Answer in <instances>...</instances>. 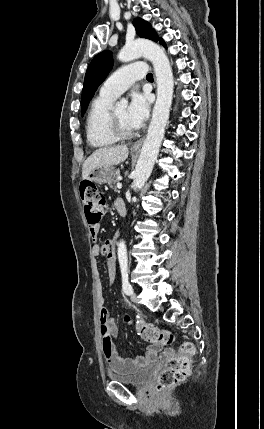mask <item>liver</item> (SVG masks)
Instances as JSON below:
<instances>
[{
	"mask_svg": "<svg viewBox=\"0 0 264 429\" xmlns=\"http://www.w3.org/2000/svg\"><path fill=\"white\" fill-rule=\"evenodd\" d=\"M129 150L126 145L99 148L93 152L84 162L82 167V178L86 179L89 174L100 166L118 165L128 157Z\"/></svg>",
	"mask_w": 264,
	"mask_h": 429,
	"instance_id": "1",
	"label": "liver"
}]
</instances>
